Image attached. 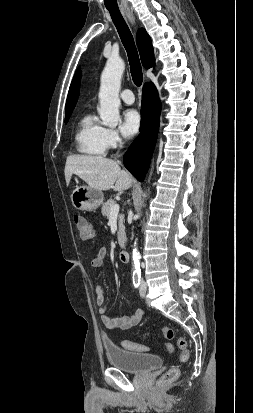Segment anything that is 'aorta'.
<instances>
[{"mask_svg":"<svg viewBox=\"0 0 253 413\" xmlns=\"http://www.w3.org/2000/svg\"><path fill=\"white\" fill-rule=\"evenodd\" d=\"M124 69L125 63L121 58H109L101 75L99 114L103 124L112 128L116 127L120 122L119 91ZM144 197H146L145 194ZM139 260L140 253L135 242L132 251V261L135 272L140 270Z\"/></svg>","mask_w":253,"mask_h":413,"instance_id":"aorta-1","label":"aorta"}]
</instances>
